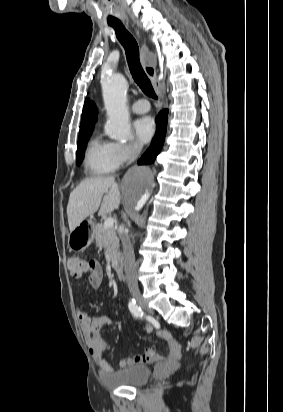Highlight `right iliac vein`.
<instances>
[{"label": "right iliac vein", "instance_id": "1", "mask_svg": "<svg viewBox=\"0 0 283 412\" xmlns=\"http://www.w3.org/2000/svg\"><path fill=\"white\" fill-rule=\"evenodd\" d=\"M130 293L132 295V297L136 300V302L138 303V305L146 310H149L150 312H152L147 306L146 303L141 295V292L138 288H132L130 289Z\"/></svg>", "mask_w": 283, "mask_h": 412}]
</instances>
